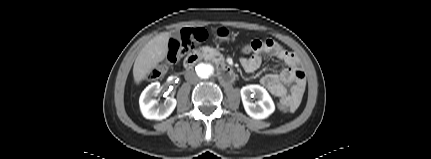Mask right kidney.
<instances>
[{
	"instance_id": "right-kidney-1",
	"label": "right kidney",
	"mask_w": 431,
	"mask_h": 159,
	"mask_svg": "<svg viewBox=\"0 0 431 159\" xmlns=\"http://www.w3.org/2000/svg\"><path fill=\"white\" fill-rule=\"evenodd\" d=\"M160 88L159 82L148 85L141 93L139 104L142 115L146 119L163 120L167 118L175 109L177 101L175 98H168L164 104H159L153 96Z\"/></svg>"
}]
</instances>
